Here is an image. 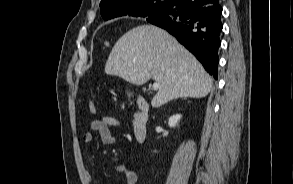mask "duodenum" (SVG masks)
I'll return each instance as SVG.
<instances>
[{
	"instance_id": "1",
	"label": "duodenum",
	"mask_w": 293,
	"mask_h": 184,
	"mask_svg": "<svg viewBox=\"0 0 293 184\" xmlns=\"http://www.w3.org/2000/svg\"><path fill=\"white\" fill-rule=\"evenodd\" d=\"M138 111L133 120V135L137 142H143L147 136V125L149 121V106L143 98L137 100Z\"/></svg>"
}]
</instances>
